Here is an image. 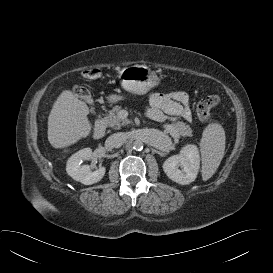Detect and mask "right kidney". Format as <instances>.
Here are the masks:
<instances>
[{
	"label": "right kidney",
	"mask_w": 273,
	"mask_h": 273,
	"mask_svg": "<svg viewBox=\"0 0 273 273\" xmlns=\"http://www.w3.org/2000/svg\"><path fill=\"white\" fill-rule=\"evenodd\" d=\"M91 156L92 150L90 148L81 149L73 154L66 165L68 175L84 185H91L100 181L105 175V167H99L92 172L89 165H81L84 160H89Z\"/></svg>",
	"instance_id": "right-kidney-1"
}]
</instances>
